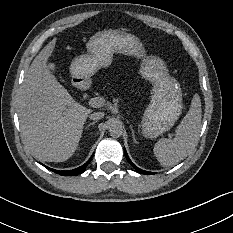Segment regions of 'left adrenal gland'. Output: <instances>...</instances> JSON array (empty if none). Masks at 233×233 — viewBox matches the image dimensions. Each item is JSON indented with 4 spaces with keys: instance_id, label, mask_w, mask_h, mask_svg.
I'll return each mask as SVG.
<instances>
[{
    "instance_id": "obj_1",
    "label": "left adrenal gland",
    "mask_w": 233,
    "mask_h": 233,
    "mask_svg": "<svg viewBox=\"0 0 233 233\" xmlns=\"http://www.w3.org/2000/svg\"><path fill=\"white\" fill-rule=\"evenodd\" d=\"M130 128H131V132H132V138L134 140L135 143H137L136 139H135V134H134V130L132 128V126L130 125Z\"/></svg>"
}]
</instances>
